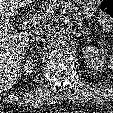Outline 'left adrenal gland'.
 Masks as SVG:
<instances>
[{
	"label": "left adrenal gland",
	"instance_id": "left-adrenal-gland-1",
	"mask_svg": "<svg viewBox=\"0 0 113 113\" xmlns=\"http://www.w3.org/2000/svg\"><path fill=\"white\" fill-rule=\"evenodd\" d=\"M75 35H76L77 37L84 36V35H85V32H84V31H76V32H75Z\"/></svg>",
	"mask_w": 113,
	"mask_h": 113
}]
</instances>
